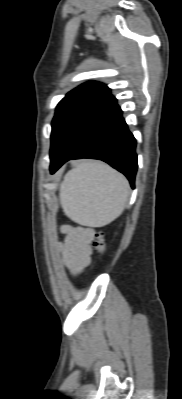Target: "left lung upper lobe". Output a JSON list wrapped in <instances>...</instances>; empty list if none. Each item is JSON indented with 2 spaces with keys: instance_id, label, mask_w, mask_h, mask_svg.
<instances>
[{
  "instance_id": "5c2ea615",
  "label": "left lung upper lobe",
  "mask_w": 182,
  "mask_h": 399,
  "mask_svg": "<svg viewBox=\"0 0 182 399\" xmlns=\"http://www.w3.org/2000/svg\"><path fill=\"white\" fill-rule=\"evenodd\" d=\"M113 98L106 85L94 81L70 91L57 105L52 121L50 160L61 154L88 115Z\"/></svg>"
}]
</instances>
